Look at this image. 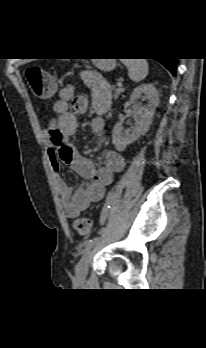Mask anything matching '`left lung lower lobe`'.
<instances>
[{
  "label": "left lung lower lobe",
  "instance_id": "0a47b994",
  "mask_svg": "<svg viewBox=\"0 0 206 348\" xmlns=\"http://www.w3.org/2000/svg\"><path fill=\"white\" fill-rule=\"evenodd\" d=\"M157 61L163 64L172 73V75L175 76L177 58L157 59Z\"/></svg>",
  "mask_w": 206,
  "mask_h": 348
}]
</instances>
